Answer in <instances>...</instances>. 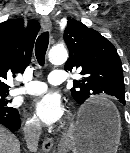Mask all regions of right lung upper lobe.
<instances>
[{
    "label": "right lung upper lobe",
    "mask_w": 130,
    "mask_h": 153,
    "mask_svg": "<svg viewBox=\"0 0 130 153\" xmlns=\"http://www.w3.org/2000/svg\"><path fill=\"white\" fill-rule=\"evenodd\" d=\"M40 24L28 21L24 28L22 19H10L0 24V91H9L7 75L21 73L30 63L34 40Z\"/></svg>",
    "instance_id": "right-lung-upper-lobe-1"
}]
</instances>
